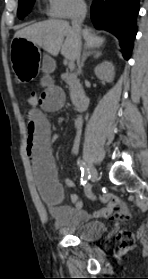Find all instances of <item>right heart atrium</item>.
Wrapping results in <instances>:
<instances>
[{
  "label": "right heart atrium",
  "instance_id": "obj_1",
  "mask_svg": "<svg viewBox=\"0 0 148 279\" xmlns=\"http://www.w3.org/2000/svg\"><path fill=\"white\" fill-rule=\"evenodd\" d=\"M47 12L51 17L70 19L82 15L86 9L84 0H47Z\"/></svg>",
  "mask_w": 148,
  "mask_h": 279
}]
</instances>
